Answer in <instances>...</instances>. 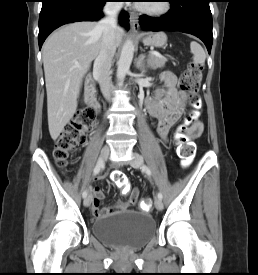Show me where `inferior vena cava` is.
Returning a JSON list of instances; mask_svg holds the SVG:
<instances>
[{
	"label": "inferior vena cava",
	"instance_id": "1",
	"mask_svg": "<svg viewBox=\"0 0 258 275\" xmlns=\"http://www.w3.org/2000/svg\"><path fill=\"white\" fill-rule=\"evenodd\" d=\"M121 7L119 2H107L103 8L105 16L98 22V27L103 31V39L100 52L94 61L93 75L98 79L106 99L111 97L110 69L117 48V17Z\"/></svg>",
	"mask_w": 258,
	"mask_h": 275
}]
</instances>
